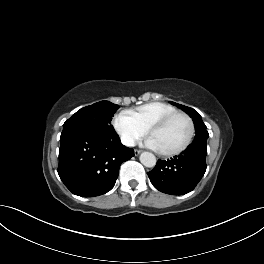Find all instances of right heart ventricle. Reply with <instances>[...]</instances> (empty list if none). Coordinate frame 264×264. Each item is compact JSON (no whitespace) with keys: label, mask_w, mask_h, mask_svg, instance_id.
<instances>
[{"label":"right heart ventricle","mask_w":264,"mask_h":264,"mask_svg":"<svg viewBox=\"0 0 264 264\" xmlns=\"http://www.w3.org/2000/svg\"><path fill=\"white\" fill-rule=\"evenodd\" d=\"M133 120L145 131H148L163 117L176 112V109L165 102H150L134 110L127 111Z\"/></svg>","instance_id":"obj_1"}]
</instances>
